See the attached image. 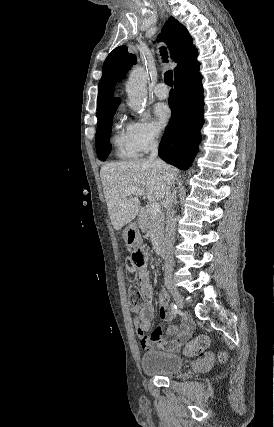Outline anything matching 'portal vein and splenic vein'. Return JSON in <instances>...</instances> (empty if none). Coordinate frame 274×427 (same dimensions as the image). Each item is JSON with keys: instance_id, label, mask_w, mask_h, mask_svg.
Wrapping results in <instances>:
<instances>
[{"instance_id": "1", "label": "portal vein and splenic vein", "mask_w": 274, "mask_h": 427, "mask_svg": "<svg viewBox=\"0 0 274 427\" xmlns=\"http://www.w3.org/2000/svg\"><path fill=\"white\" fill-rule=\"evenodd\" d=\"M125 196H146V194L145 190H135V188H133V190H127ZM148 210L152 215H156L160 212V206L155 202V204H150V206H148Z\"/></svg>"}]
</instances>
